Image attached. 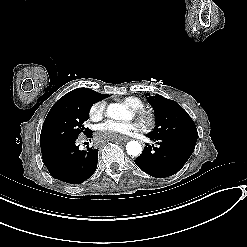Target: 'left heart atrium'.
<instances>
[{"instance_id": "1", "label": "left heart atrium", "mask_w": 247, "mask_h": 247, "mask_svg": "<svg viewBox=\"0 0 247 247\" xmlns=\"http://www.w3.org/2000/svg\"><path fill=\"white\" fill-rule=\"evenodd\" d=\"M137 129L136 123L107 121L97 128L94 142L100 145L110 141H119L120 135H130Z\"/></svg>"}]
</instances>
